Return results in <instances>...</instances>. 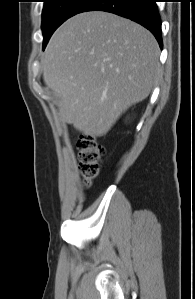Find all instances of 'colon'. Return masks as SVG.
<instances>
[{"mask_svg":"<svg viewBox=\"0 0 195 299\" xmlns=\"http://www.w3.org/2000/svg\"><path fill=\"white\" fill-rule=\"evenodd\" d=\"M77 150L79 171L85 186L89 187L100 173L104 148L93 135L82 134L77 141Z\"/></svg>","mask_w":195,"mask_h":299,"instance_id":"colon-1","label":"colon"}]
</instances>
